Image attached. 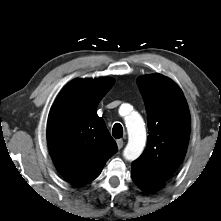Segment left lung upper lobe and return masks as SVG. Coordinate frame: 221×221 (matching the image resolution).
I'll use <instances>...</instances> for the list:
<instances>
[{"label":"left lung upper lobe","instance_id":"1","mask_svg":"<svg viewBox=\"0 0 221 221\" xmlns=\"http://www.w3.org/2000/svg\"><path fill=\"white\" fill-rule=\"evenodd\" d=\"M148 120L147 147L133 163L166 181L181 164L189 142L190 113L180 88L161 75L137 80Z\"/></svg>","mask_w":221,"mask_h":221}]
</instances>
